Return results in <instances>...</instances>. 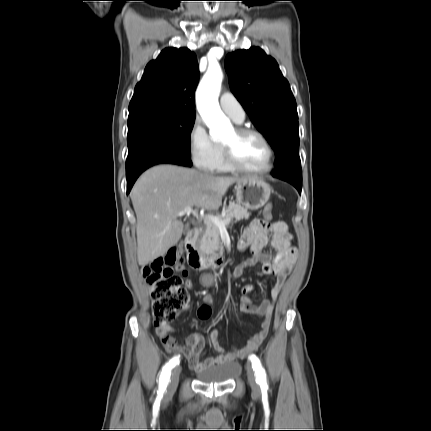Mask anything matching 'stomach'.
<instances>
[{
	"label": "stomach",
	"instance_id": "stomach-1",
	"mask_svg": "<svg viewBox=\"0 0 431 431\" xmlns=\"http://www.w3.org/2000/svg\"><path fill=\"white\" fill-rule=\"evenodd\" d=\"M238 203L251 210L262 208L270 197V186L258 177H245L235 186Z\"/></svg>",
	"mask_w": 431,
	"mask_h": 431
}]
</instances>
